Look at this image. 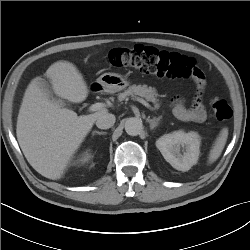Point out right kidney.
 <instances>
[{"mask_svg":"<svg viewBox=\"0 0 250 250\" xmlns=\"http://www.w3.org/2000/svg\"><path fill=\"white\" fill-rule=\"evenodd\" d=\"M89 158H90V156H89V154L86 152V153L83 154V156H82V158L79 160V162L85 163V162H87V161L89 160Z\"/></svg>","mask_w":250,"mask_h":250,"instance_id":"right-kidney-1","label":"right kidney"}]
</instances>
